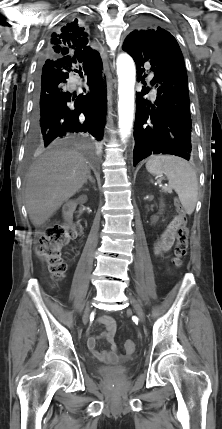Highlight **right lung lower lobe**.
<instances>
[{
	"mask_svg": "<svg viewBox=\"0 0 222 429\" xmlns=\"http://www.w3.org/2000/svg\"><path fill=\"white\" fill-rule=\"evenodd\" d=\"M74 63L76 61L68 56L49 57L41 63L31 136L45 147L70 141L77 134L89 135L97 141L103 138L107 95L100 55L83 62L88 86L85 95H72L66 89L68 72L72 71Z\"/></svg>",
	"mask_w": 222,
	"mask_h": 429,
	"instance_id": "1",
	"label": "right lung lower lobe"
}]
</instances>
